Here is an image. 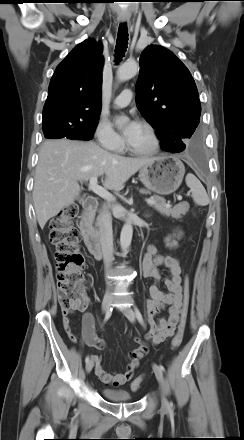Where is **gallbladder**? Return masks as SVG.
I'll return each mask as SVG.
<instances>
[{
	"label": "gallbladder",
	"instance_id": "obj_1",
	"mask_svg": "<svg viewBox=\"0 0 244 440\" xmlns=\"http://www.w3.org/2000/svg\"><path fill=\"white\" fill-rule=\"evenodd\" d=\"M77 200L82 201L83 200V196H78Z\"/></svg>",
	"mask_w": 244,
	"mask_h": 440
}]
</instances>
